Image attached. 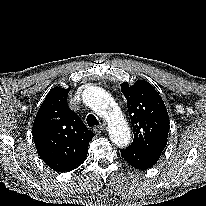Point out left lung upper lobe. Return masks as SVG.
Returning <instances> with one entry per match:
<instances>
[{"mask_svg": "<svg viewBox=\"0 0 206 206\" xmlns=\"http://www.w3.org/2000/svg\"><path fill=\"white\" fill-rule=\"evenodd\" d=\"M120 86L134 131L130 147L162 153L167 144L170 122L161 96L145 80H138L132 86L123 82Z\"/></svg>", "mask_w": 206, "mask_h": 206, "instance_id": "5c2ea615", "label": "left lung upper lobe"}]
</instances>
